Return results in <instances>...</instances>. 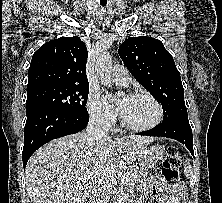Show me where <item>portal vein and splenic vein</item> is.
<instances>
[{"mask_svg":"<svg viewBox=\"0 0 222 203\" xmlns=\"http://www.w3.org/2000/svg\"><path fill=\"white\" fill-rule=\"evenodd\" d=\"M128 180H129V179L126 178L125 180L123 179L122 182H127ZM104 188L107 189V190H112V189H114L115 187H114L113 183H109V184H105V185H104Z\"/></svg>","mask_w":222,"mask_h":203,"instance_id":"obj_1","label":"portal vein and splenic vein"}]
</instances>
